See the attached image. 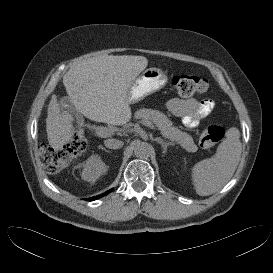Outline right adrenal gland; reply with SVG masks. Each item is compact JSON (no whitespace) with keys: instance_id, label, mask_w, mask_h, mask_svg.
<instances>
[{"instance_id":"2a0ac1e0","label":"right adrenal gland","mask_w":273,"mask_h":273,"mask_svg":"<svg viewBox=\"0 0 273 273\" xmlns=\"http://www.w3.org/2000/svg\"><path fill=\"white\" fill-rule=\"evenodd\" d=\"M100 149L104 150L105 152H111L109 150H107L106 148L102 147V146H99Z\"/></svg>"}]
</instances>
